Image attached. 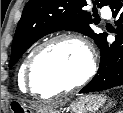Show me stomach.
<instances>
[{"label":"stomach","instance_id":"1","mask_svg":"<svg viewBox=\"0 0 123 113\" xmlns=\"http://www.w3.org/2000/svg\"><path fill=\"white\" fill-rule=\"evenodd\" d=\"M105 103V98L101 95H83L71 102L70 113H95ZM12 110L23 113H32L31 110L21 102H12ZM38 113H58L56 109L50 108Z\"/></svg>","mask_w":123,"mask_h":113}]
</instances>
